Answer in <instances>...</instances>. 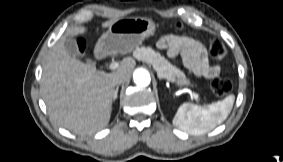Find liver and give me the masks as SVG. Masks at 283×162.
I'll return each mask as SVG.
<instances>
[{"instance_id": "6515ba94", "label": "liver", "mask_w": 283, "mask_h": 162, "mask_svg": "<svg viewBox=\"0 0 283 162\" xmlns=\"http://www.w3.org/2000/svg\"><path fill=\"white\" fill-rule=\"evenodd\" d=\"M117 19L102 23L110 27ZM87 28L74 26L46 54L43 63L41 92L50 118L75 134H93L105 128L112 113L117 75L129 80L135 67L131 59L105 73L94 64L83 63L65 50L67 36L81 35Z\"/></svg>"}]
</instances>
